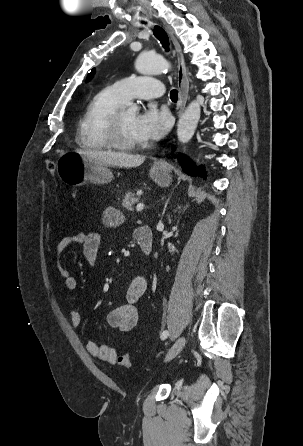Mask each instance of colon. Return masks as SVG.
<instances>
[{
	"label": "colon",
	"mask_w": 303,
	"mask_h": 446,
	"mask_svg": "<svg viewBox=\"0 0 303 446\" xmlns=\"http://www.w3.org/2000/svg\"><path fill=\"white\" fill-rule=\"evenodd\" d=\"M46 167L48 169V171L51 174H55L56 173V166L54 164L53 161L51 160H46ZM119 363L124 366V367H130L131 366V357L128 353L122 354L119 357Z\"/></svg>",
	"instance_id": "1"
}]
</instances>
